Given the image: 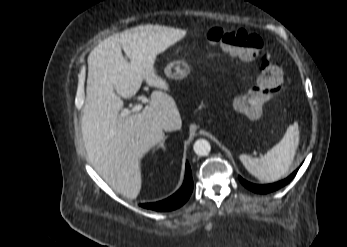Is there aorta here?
<instances>
[{
	"instance_id": "obj_1",
	"label": "aorta",
	"mask_w": 347,
	"mask_h": 247,
	"mask_svg": "<svg viewBox=\"0 0 347 247\" xmlns=\"http://www.w3.org/2000/svg\"><path fill=\"white\" fill-rule=\"evenodd\" d=\"M193 150L198 156H207L211 150V145L205 139H198L193 145Z\"/></svg>"
}]
</instances>
